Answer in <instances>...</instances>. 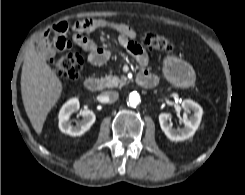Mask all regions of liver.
<instances>
[{
	"label": "liver",
	"instance_id": "liver-1",
	"mask_svg": "<svg viewBox=\"0 0 245 195\" xmlns=\"http://www.w3.org/2000/svg\"><path fill=\"white\" fill-rule=\"evenodd\" d=\"M63 85L47 64L46 55L30 47L21 73V94L27 116L37 134H41L46 117L58 102Z\"/></svg>",
	"mask_w": 245,
	"mask_h": 195
}]
</instances>
